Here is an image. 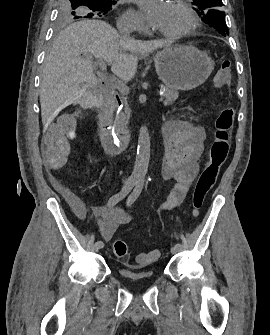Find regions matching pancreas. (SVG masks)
<instances>
[{
    "label": "pancreas",
    "instance_id": "obj_1",
    "mask_svg": "<svg viewBox=\"0 0 270 335\" xmlns=\"http://www.w3.org/2000/svg\"><path fill=\"white\" fill-rule=\"evenodd\" d=\"M165 98L163 104L164 106H171L177 98H179V92L177 90H169V88H163ZM130 118V110H126V112H121L120 116H118L116 120V132L119 134H124L127 132V124Z\"/></svg>",
    "mask_w": 270,
    "mask_h": 335
}]
</instances>
